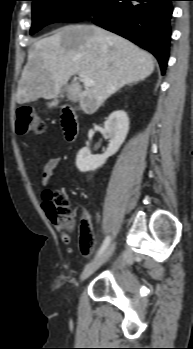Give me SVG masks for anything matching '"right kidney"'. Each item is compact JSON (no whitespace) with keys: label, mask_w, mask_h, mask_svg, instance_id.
I'll use <instances>...</instances> for the list:
<instances>
[{"label":"right kidney","mask_w":193,"mask_h":349,"mask_svg":"<svg viewBox=\"0 0 193 349\" xmlns=\"http://www.w3.org/2000/svg\"><path fill=\"white\" fill-rule=\"evenodd\" d=\"M104 130L107 134L106 138L109 139L107 150L102 155H92L87 147L81 148L76 157V166L79 171L96 170L119 150L129 131L127 113L123 110L111 113L104 123Z\"/></svg>","instance_id":"obj_1"}]
</instances>
